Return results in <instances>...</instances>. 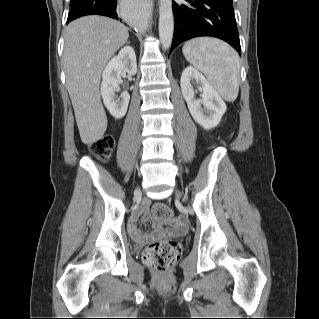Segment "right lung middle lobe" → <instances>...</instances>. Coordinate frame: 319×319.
Masks as SVG:
<instances>
[{
	"label": "right lung middle lobe",
	"mask_w": 319,
	"mask_h": 319,
	"mask_svg": "<svg viewBox=\"0 0 319 319\" xmlns=\"http://www.w3.org/2000/svg\"><path fill=\"white\" fill-rule=\"evenodd\" d=\"M78 0H71L70 7L73 6Z\"/></svg>",
	"instance_id": "1"
}]
</instances>
